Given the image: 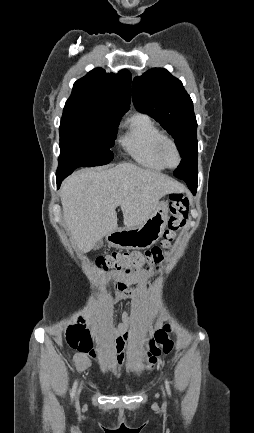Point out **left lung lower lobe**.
<instances>
[{
    "instance_id": "0a47b994",
    "label": "left lung lower lobe",
    "mask_w": 254,
    "mask_h": 433,
    "mask_svg": "<svg viewBox=\"0 0 254 433\" xmlns=\"http://www.w3.org/2000/svg\"><path fill=\"white\" fill-rule=\"evenodd\" d=\"M191 190V192L195 195L197 188V181H185Z\"/></svg>"
}]
</instances>
